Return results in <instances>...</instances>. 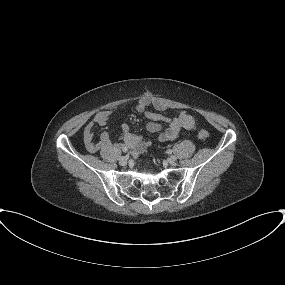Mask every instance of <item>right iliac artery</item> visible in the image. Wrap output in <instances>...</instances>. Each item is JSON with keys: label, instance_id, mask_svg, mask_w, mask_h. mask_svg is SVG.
I'll return each instance as SVG.
<instances>
[{"label": "right iliac artery", "instance_id": "obj_1", "mask_svg": "<svg viewBox=\"0 0 285 285\" xmlns=\"http://www.w3.org/2000/svg\"><path fill=\"white\" fill-rule=\"evenodd\" d=\"M127 151H128V149H127V148H124V149H123V152H125V153H126Z\"/></svg>", "mask_w": 285, "mask_h": 285}]
</instances>
